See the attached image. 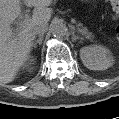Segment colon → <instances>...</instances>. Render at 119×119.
<instances>
[{
	"instance_id": "5ec220e1",
	"label": "colon",
	"mask_w": 119,
	"mask_h": 119,
	"mask_svg": "<svg viewBox=\"0 0 119 119\" xmlns=\"http://www.w3.org/2000/svg\"><path fill=\"white\" fill-rule=\"evenodd\" d=\"M110 5L114 14L117 16L119 14V2L117 0H111ZM117 35H119V29H117Z\"/></svg>"
}]
</instances>
